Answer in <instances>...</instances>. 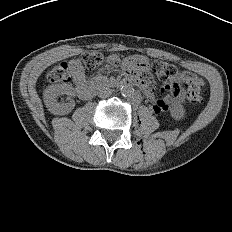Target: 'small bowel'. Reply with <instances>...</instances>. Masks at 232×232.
Returning a JSON list of instances; mask_svg holds the SVG:
<instances>
[{
  "mask_svg": "<svg viewBox=\"0 0 232 232\" xmlns=\"http://www.w3.org/2000/svg\"><path fill=\"white\" fill-rule=\"evenodd\" d=\"M105 66L108 70H123L126 69L129 72H134L137 79L141 81V88L145 91L148 101L152 104V110L155 113H160L168 108V105L175 102H183L185 99L186 89L182 88L181 85L199 84L202 85V80L196 75L190 72H178L173 79H171L164 88L161 89V93L164 94L166 91L170 92L171 95L154 99L153 96V80L150 78L151 74L149 68L151 62L146 57L140 55H132L124 59H119L115 55H111L107 58ZM70 70L73 75L74 84L78 90L79 87L86 83V76L82 67L76 62H70Z\"/></svg>",
  "mask_w": 232,
  "mask_h": 232,
  "instance_id": "obj_1",
  "label": "small bowel"
}]
</instances>
